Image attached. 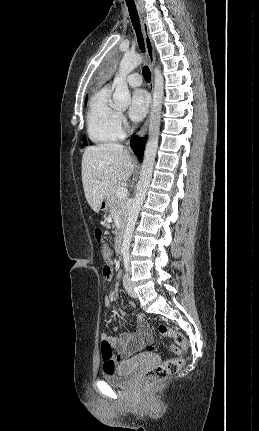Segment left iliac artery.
<instances>
[{
  "instance_id": "obj_1",
  "label": "left iliac artery",
  "mask_w": 259,
  "mask_h": 431,
  "mask_svg": "<svg viewBox=\"0 0 259 431\" xmlns=\"http://www.w3.org/2000/svg\"><path fill=\"white\" fill-rule=\"evenodd\" d=\"M124 267L128 271L129 270V255H124Z\"/></svg>"
}]
</instances>
